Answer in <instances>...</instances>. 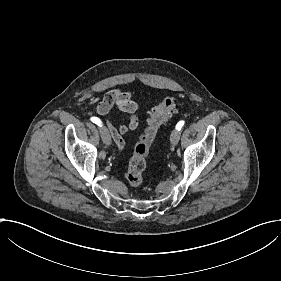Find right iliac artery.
<instances>
[{"instance_id": "1", "label": "right iliac artery", "mask_w": 281, "mask_h": 281, "mask_svg": "<svg viewBox=\"0 0 281 281\" xmlns=\"http://www.w3.org/2000/svg\"><path fill=\"white\" fill-rule=\"evenodd\" d=\"M91 121H92L93 123L97 124L98 126H102V125H101L102 122H101L100 119L97 118V117H92V118H91Z\"/></svg>"}]
</instances>
